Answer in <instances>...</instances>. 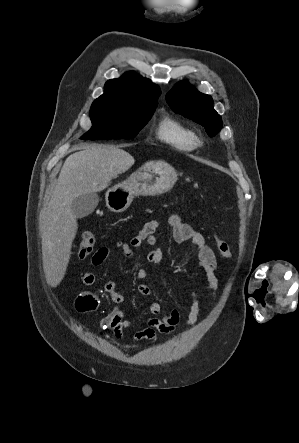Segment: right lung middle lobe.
<instances>
[{
  "instance_id": "obj_1",
  "label": "right lung middle lobe",
  "mask_w": 299,
  "mask_h": 443,
  "mask_svg": "<svg viewBox=\"0 0 299 443\" xmlns=\"http://www.w3.org/2000/svg\"><path fill=\"white\" fill-rule=\"evenodd\" d=\"M156 105H133L118 101L92 103L90 118L92 128L83 140L131 139L151 118Z\"/></svg>"
}]
</instances>
